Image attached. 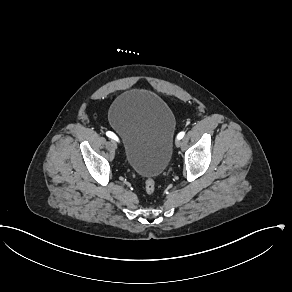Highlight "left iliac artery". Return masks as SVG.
Segmentation results:
<instances>
[{"label":"left iliac artery","mask_w":292,"mask_h":292,"mask_svg":"<svg viewBox=\"0 0 292 292\" xmlns=\"http://www.w3.org/2000/svg\"><path fill=\"white\" fill-rule=\"evenodd\" d=\"M184 135H185V132H184V131L180 132V133L177 135V139H182V138L184 137Z\"/></svg>","instance_id":"obj_1"}]
</instances>
